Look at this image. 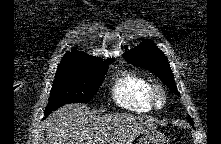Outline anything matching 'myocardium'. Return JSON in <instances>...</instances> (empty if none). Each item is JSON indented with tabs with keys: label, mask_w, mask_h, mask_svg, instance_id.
Instances as JSON below:
<instances>
[{
	"label": "myocardium",
	"mask_w": 221,
	"mask_h": 144,
	"mask_svg": "<svg viewBox=\"0 0 221 144\" xmlns=\"http://www.w3.org/2000/svg\"><path fill=\"white\" fill-rule=\"evenodd\" d=\"M150 101L154 108L162 109L167 103V94L160 84H154L150 90Z\"/></svg>",
	"instance_id": "myocardium-1"
}]
</instances>
